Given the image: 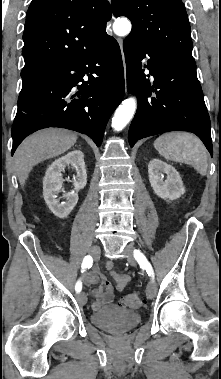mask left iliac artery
Segmentation results:
<instances>
[{
    "mask_svg": "<svg viewBox=\"0 0 221 379\" xmlns=\"http://www.w3.org/2000/svg\"><path fill=\"white\" fill-rule=\"evenodd\" d=\"M134 257L137 260V262L140 264V266L146 269V272L148 273V275L154 278L153 268L150 262L147 260L146 256L139 250H134Z\"/></svg>",
    "mask_w": 221,
    "mask_h": 379,
    "instance_id": "left-iliac-artery-1",
    "label": "left iliac artery"
}]
</instances>
